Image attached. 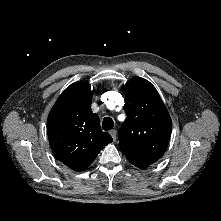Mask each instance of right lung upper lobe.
Listing matches in <instances>:
<instances>
[{
  "label": "right lung upper lobe",
  "mask_w": 221,
  "mask_h": 221,
  "mask_svg": "<svg viewBox=\"0 0 221 221\" xmlns=\"http://www.w3.org/2000/svg\"><path fill=\"white\" fill-rule=\"evenodd\" d=\"M92 95L88 84H71L57 99L47 121L48 139L55 157L77 172L85 170L113 141L101 130L99 117L91 110Z\"/></svg>",
  "instance_id": "1"
}]
</instances>
